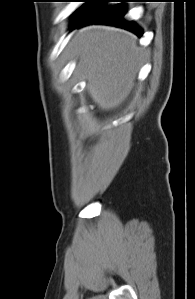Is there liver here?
Returning a JSON list of instances; mask_svg holds the SVG:
<instances>
[{
  "mask_svg": "<svg viewBox=\"0 0 195 299\" xmlns=\"http://www.w3.org/2000/svg\"><path fill=\"white\" fill-rule=\"evenodd\" d=\"M67 52L77 60L76 69L99 109L113 110L128 98L143 58L132 33L106 26L85 27L72 37Z\"/></svg>",
  "mask_w": 195,
  "mask_h": 299,
  "instance_id": "6515ba94",
  "label": "liver"
}]
</instances>
